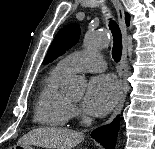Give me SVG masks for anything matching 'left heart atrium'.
Segmentation results:
<instances>
[{"instance_id": "39dd6f15", "label": "left heart atrium", "mask_w": 155, "mask_h": 149, "mask_svg": "<svg viewBox=\"0 0 155 149\" xmlns=\"http://www.w3.org/2000/svg\"><path fill=\"white\" fill-rule=\"evenodd\" d=\"M119 94V87L114 77L100 75L91 79L88 84L83 107L94 116L106 115L114 106Z\"/></svg>"}]
</instances>
